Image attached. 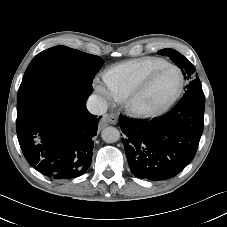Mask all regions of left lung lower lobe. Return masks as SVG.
<instances>
[{"instance_id": "obj_1", "label": "left lung lower lobe", "mask_w": 227, "mask_h": 227, "mask_svg": "<svg viewBox=\"0 0 227 227\" xmlns=\"http://www.w3.org/2000/svg\"><path fill=\"white\" fill-rule=\"evenodd\" d=\"M201 102L186 101L158 119L119 117L129 167L138 178L166 180L194 158L204 127Z\"/></svg>"}]
</instances>
